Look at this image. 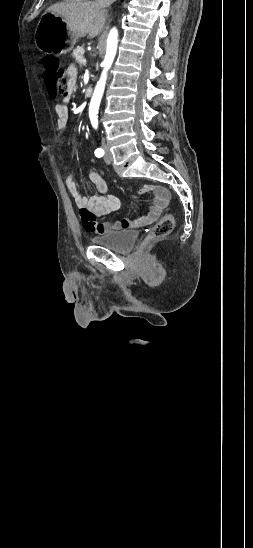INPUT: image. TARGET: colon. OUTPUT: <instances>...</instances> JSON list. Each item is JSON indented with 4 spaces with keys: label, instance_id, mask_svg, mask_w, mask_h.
<instances>
[{
    "label": "colon",
    "instance_id": "colon-1",
    "mask_svg": "<svg viewBox=\"0 0 253 548\" xmlns=\"http://www.w3.org/2000/svg\"><path fill=\"white\" fill-rule=\"evenodd\" d=\"M44 65L47 68L46 71V83L45 88L47 91H53L51 94L54 96L56 93L63 95L68 94V76L65 71L59 67L58 62L54 58H46ZM56 92V93H55ZM174 226V220L170 215L162 217L153 227L144 244L158 239L160 237L169 234Z\"/></svg>",
    "mask_w": 253,
    "mask_h": 548
}]
</instances>
